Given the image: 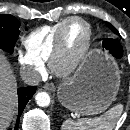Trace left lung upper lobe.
I'll list each match as a JSON object with an SVG mask.
<instances>
[{
	"label": "left lung upper lobe",
	"mask_w": 130,
	"mask_h": 130,
	"mask_svg": "<svg viewBox=\"0 0 130 130\" xmlns=\"http://www.w3.org/2000/svg\"><path fill=\"white\" fill-rule=\"evenodd\" d=\"M107 24V26L115 33V34H119L118 33V31L115 29V27L114 26H112L110 23H106Z\"/></svg>",
	"instance_id": "1"
}]
</instances>
